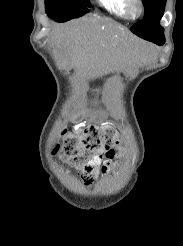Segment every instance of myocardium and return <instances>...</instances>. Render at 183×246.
Masks as SVG:
<instances>
[{"instance_id":"myocardium-1","label":"myocardium","mask_w":183,"mask_h":246,"mask_svg":"<svg viewBox=\"0 0 183 246\" xmlns=\"http://www.w3.org/2000/svg\"><path fill=\"white\" fill-rule=\"evenodd\" d=\"M125 10L129 19H139L144 13L142 0H125Z\"/></svg>"}]
</instances>
